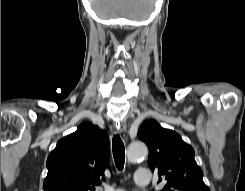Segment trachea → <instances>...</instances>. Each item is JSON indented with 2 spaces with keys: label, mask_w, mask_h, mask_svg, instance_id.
<instances>
[{
  "label": "trachea",
  "mask_w": 245,
  "mask_h": 191,
  "mask_svg": "<svg viewBox=\"0 0 245 191\" xmlns=\"http://www.w3.org/2000/svg\"><path fill=\"white\" fill-rule=\"evenodd\" d=\"M113 157L118 170H122L125 162V147L122 139L118 134L113 136L112 140Z\"/></svg>",
  "instance_id": "3493384b"
}]
</instances>
